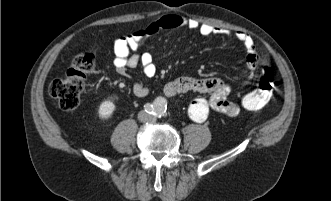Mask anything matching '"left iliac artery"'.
I'll return each mask as SVG.
<instances>
[{"mask_svg":"<svg viewBox=\"0 0 331 201\" xmlns=\"http://www.w3.org/2000/svg\"><path fill=\"white\" fill-rule=\"evenodd\" d=\"M165 106L162 103H158L156 104V114L159 115V117H161L164 113H165Z\"/></svg>","mask_w":331,"mask_h":201,"instance_id":"1","label":"left iliac artery"}]
</instances>
